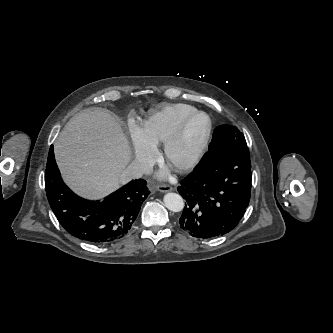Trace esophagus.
<instances>
[{
  "instance_id": "34e87169",
  "label": "esophagus",
  "mask_w": 333,
  "mask_h": 333,
  "mask_svg": "<svg viewBox=\"0 0 333 333\" xmlns=\"http://www.w3.org/2000/svg\"><path fill=\"white\" fill-rule=\"evenodd\" d=\"M156 189L162 193H166V192L173 190V188L171 186L166 185V184H160L156 187Z\"/></svg>"
}]
</instances>
